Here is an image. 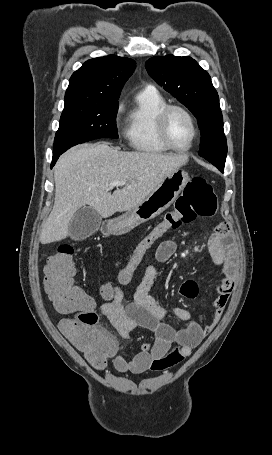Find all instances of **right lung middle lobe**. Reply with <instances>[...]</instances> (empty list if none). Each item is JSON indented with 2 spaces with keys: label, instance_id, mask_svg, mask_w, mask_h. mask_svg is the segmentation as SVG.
Segmentation results:
<instances>
[{
  "label": "right lung middle lobe",
  "instance_id": "1",
  "mask_svg": "<svg viewBox=\"0 0 272 455\" xmlns=\"http://www.w3.org/2000/svg\"><path fill=\"white\" fill-rule=\"evenodd\" d=\"M118 102L106 104H65L54 140V152L98 138H118Z\"/></svg>",
  "mask_w": 272,
  "mask_h": 455
}]
</instances>
